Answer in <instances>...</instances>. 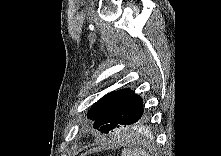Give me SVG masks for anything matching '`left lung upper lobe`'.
<instances>
[{
    "label": "left lung upper lobe",
    "instance_id": "obj_1",
    "mask_svg": "<svg viewBox=\"0 0 221 156\" xmlns=\"http://www.w3.org/2000/svg\"><path fill=\"white\" fill-rule=\"evenodd\" d=\"M94 121V128L108 134L114 128L139 124L146 119L142 98L130 89H122L106 94L88 112Z\"/></svg>",
    "mask_w": 221,
    "mask_h": 156
}]
</instances>
